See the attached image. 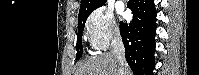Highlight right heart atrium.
<instances>
[{
  "label": "right heart atrium",
  "mask_w": 199,
  "mask_h": 75,
  "mask_svg": "<svg viewBox=\"0 0 199 75\" xmlns=\"http://www.w3.org/2000/svg\"><path fill=\"white\" fill-rule=\"evenodd\" d=\"M85 31L90 45L96 50L106 49L120 37L113 13L101 7L94 10L86 20Z\"/></svg>",
  "instance_id": "1"
}]
</instances>
